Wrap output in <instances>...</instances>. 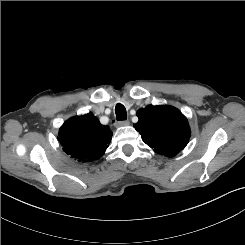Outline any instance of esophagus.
Listing matches in <instances>:
<instances>
[{"label": "esophagus", "mask_w": 245, "mask_h": 245, "mask_svg": "<svg viewBox=\"0 0 245 245\" xmlns=\"http://www.w3.org/2000/svg\"><path fill=\"white\" fill-rule=\"evenodd\" d=\"M129 124V121L128 120H121V121H118L116 122V126H126Z\"/></svg>", "instance_id": "1"}]
</instances>
